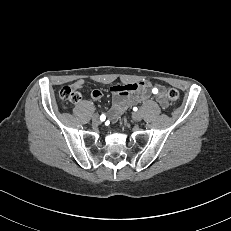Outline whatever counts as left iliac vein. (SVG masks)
<instances>
[{
	"label": "left iliac vein",
	"mask_w": 231,
	"mask_h": 231,
	"mask_svg": "<svg viewBox=\"0 0 231 231\" xmlns=\"http://www.w3.org/2000/svg\"><path fill=\"white\" fill-rule=\"evenodd\" d=\"M132 118L134 121L139 122L142 120V114L140 112H135L132 114Z\"/></svg>",
	"instance_id": "left-iliac-vein-1"
}]
</instances>
